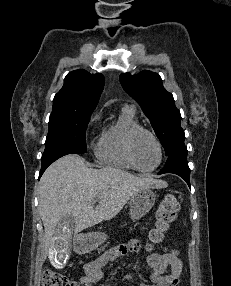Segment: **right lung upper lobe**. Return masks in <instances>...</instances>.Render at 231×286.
Masks as SVG:
<instances>
[{"mask_svg": "<svg viewBox=\"0 0 231 286\" xmlns=\"http://www.w3.org/2000/svg\"><path fill=\"white\" fill-rule=\"evenodd\" d=\"M104 86L102 74L84 69L67 74L64 86L53 99V111H93Z\"/></svg>", "mask_w": 231, "mask_h": 286, "instance_id": "cb5924a9", "label": "right lung upper lobe"}]
</instances>
